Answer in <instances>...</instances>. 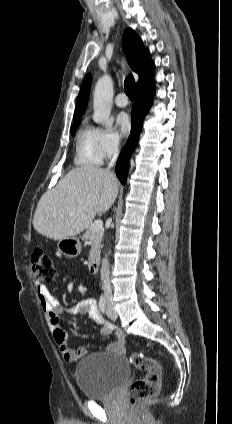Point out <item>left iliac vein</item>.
<instances>
[{"label":"left iliac vein","instance_id":"4c4485c4","mask_svg":"<svg viewBox=\"0 0 232 424\" xmlns=\"http://www.w3.org/2000/svg\"><path fill=\"white\" fill-rule=\"evenodd\" d=\"M106 314H107V316H108L110 319H112V320H115V319L117 318V313H116V311L114 310V307H113V305L111 304V302H108V303H107Z\"/></svg>","mask_w":232,"mask_h":424}]
</instances>
